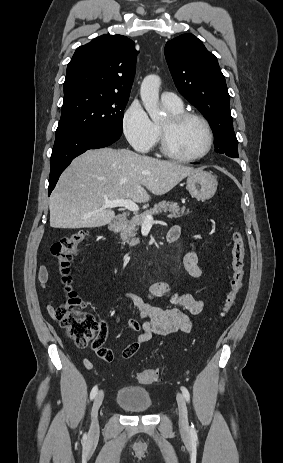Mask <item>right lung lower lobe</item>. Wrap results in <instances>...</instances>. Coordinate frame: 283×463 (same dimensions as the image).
<instances>
[{"mask_svg": "<svg viewBox=\"0 0 283 463\" xmlns=\"http://www.w3.org/2000/svg\"><path fill=\"white\" fill-rule=\"evenodd\" d=\"M120 135L101 130H81L56 137L50 159L48 195L59 176L71 161L88 149L103 148L119 139Z\"/></svg>", "mask_w": 283, "mask_h": 463, "instance_id": "right-lung-lower-lobe-1", "label": "right lung lower lobe"}]
</instances>
